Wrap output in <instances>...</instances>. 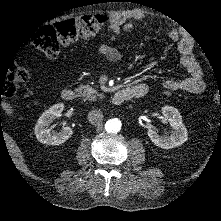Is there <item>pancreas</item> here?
Segmentation results:
<instances>
[{"instance_id": "cf45deb5", "label": "pancreas", "mask_w": 221, "mask_h": 221, "mask_svg": "<svg viewBox=\"0 0 221 221\" xmlns=\"http://www.w3.org/2000/svg\"><path fill=\"white\" fill-rule=\"evenodd\" d=\"M76 90L84 101L96 100L98 96L103 97V94L94 86L80 85Z\"/></svg>"}]
</instances>
